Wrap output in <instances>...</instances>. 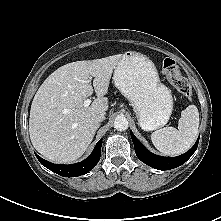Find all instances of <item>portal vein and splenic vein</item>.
I'll return each mask as SVG.
<instances>
[{"instance_id": "18ae733b", "label": "portal vein and splenic vein", "mask_w": 221, "mask_h": 221, "mask_svg": "<svg viewBox=\"0 0 221 221\" xmlns=\"http://www.w3.org/2000/svg\"><path fill=\"white\" fill-rule=\"evenodd\" d=\"M92 100L91 99H86L83 103L84 107H88L91 104Z\"/></svg>"}]
</instances>
